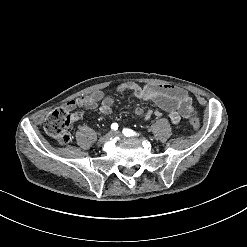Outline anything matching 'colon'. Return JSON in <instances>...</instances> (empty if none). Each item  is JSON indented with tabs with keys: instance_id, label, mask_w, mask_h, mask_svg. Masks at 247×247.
<instances>
[{
	"instance_id": "5ec220e1",
	"label": "colon",
	"mask_w": 247,
	"mask_h": 247,
	"mask_svg": "<svg viewBox=\"0 0 247 247\" xmlns=\"http://www.w3.org/2000/svg\"><path fill=\"white\" fill-rule=\"evenodd\" d=\"M190 122L193 128H200V123L197 118ZM71 124L72 120L70 118L69 112L54 110L44 120L43 127L45 131L54 137L59 144L66 145L73 138L72 132L70 130Z\"/></svg>"
}]
</instances>
